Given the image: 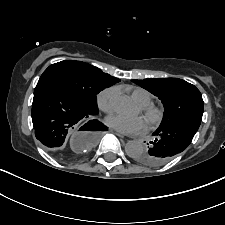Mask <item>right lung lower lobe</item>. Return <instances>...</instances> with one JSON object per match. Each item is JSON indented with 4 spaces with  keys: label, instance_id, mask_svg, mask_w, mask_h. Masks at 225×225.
Masks as SVG:
<instances>
[{
    "label": "right lung lower lobe",
    "instance_id": "right-lung-lower-lobe-1",
    "mask_svg": "<svg viewBox=\"0 0 225 225\" xmlns=\"http://www.w3.org/2000/svg\"><path fill=\"white\" fill-rule=\"evenodd\" d=\"M84 107L59 85L42 80L37 83L32 103V122L36 138L47 148L56 149L63 145L67 134L82 119L97 115ZM93 122L92 131L107 130L97 120Z\"/></svg>",
    "mask_w": 225,
    "mask_h": 225
}]
</instances>
